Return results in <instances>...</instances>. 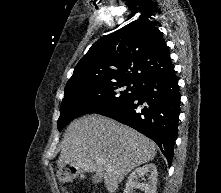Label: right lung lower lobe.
<instances>
[{"label": "right lung lower lobe", "instance_id": "1", "mask_svg": "<svg viewBox=\"0 0 221 193\" xmlns=\"http://www.w3.org/2000/svg\"><path fill=\"white\" fill-rule=\"evenodd\" d=\"M180 92L174 69L141 82L136 96L98 114L115 119L151 138L170 165L178 134Z\"/></svg>", "mask_w": 221, "mask_h": 193}]
</instances>
